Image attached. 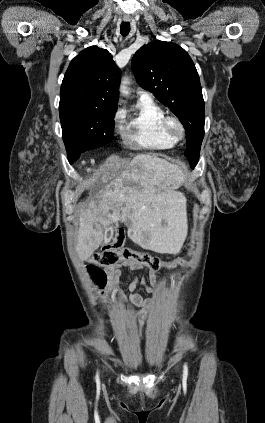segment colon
<instances>
[{
  "label": "colon",
  "instance_id": "1",
  "mask_svg": "<svg viewBox=\"0 0 265 423\" xmlns=\"http://www.w3.org/2000/svg\"><path fill=\"white\" fill-rule=\"evenodd\" d=\"M124 242L125 232L123 229H119L108 244L92 255L87 271L96 286L102 287L106 283L105 274L100 266L114 265L119 261H132L157 273L163 268H174L183 263L182 259L171 262L163 261L149 254L124 247Z\"/></svg>",
  "mask_w": 265,
  "mask_h": 423
}]
</instances>
